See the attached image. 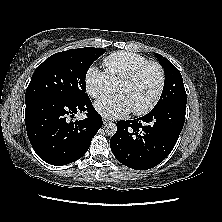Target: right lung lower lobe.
Masks as SVG:
<instances>
[{
    "label": "right lung lower lobe",
    "instance_id": "98d812e1",
    "mask_svg": "<svg viewBox=\"0 0 222 222\" xmlns=\"http://www.w3.org/2000/svg\"><path fill=\"white\" fill-rule=\"evenodd\" d=\"M88 112L84 120L70 121L77 112ZM25 123L36 154L45 162L61 166L81 158L102 127V118L89 97L67 100L41 96L26 103Z\"/></svg>",
    "mask_w": 222,
    "mask_h": 222
}]
</instances>
